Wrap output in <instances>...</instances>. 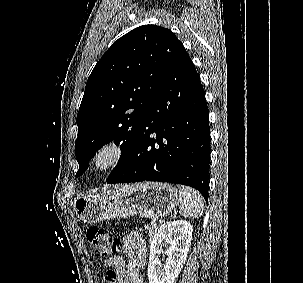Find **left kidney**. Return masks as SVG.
Listing matches in <instances>:
<instances>
[{
    "label": "left kidney",
    "instance_id": "1",
    "mask_svg": "<svg viewBox=\"0 0 303 283\" xmlns=\"http://www.w3.org/2000/svg\"><path fill=\"white\" fill-rule=\"evenodd\" d=\"M192 232V225L185 220L161 225L150 242L149 283H174L187 258ZM163 254L167 255L164 265L160 259Z\"/></svg>",
    "mask_w": 303,
    "mask_h": 283
}]
</instances>
